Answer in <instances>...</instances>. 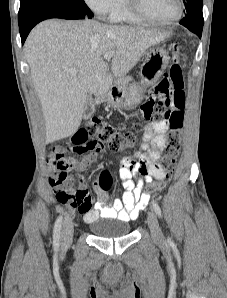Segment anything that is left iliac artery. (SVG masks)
I'll return each mask as SVG.
<instances>
[{"label":"left iliac artery","mask_w":227,"mask_h":298,"mask_svg":"<svg viewBox=\"0 0 227 298\" xmlns=\"http://www.w3.org/2000/svg\"><path fill=\"white\" fill-rule=\"evenodd\" d=\"M152 206H153V209L155 211V213L161 217L162 216V212H161V208L160 206L158 205V203H156L155 201L152 202Z\"/></svg>","instance_id":"44dca946"}]
</instances>
